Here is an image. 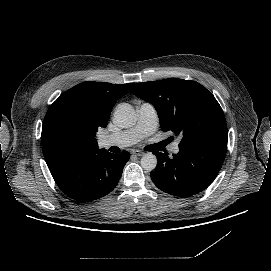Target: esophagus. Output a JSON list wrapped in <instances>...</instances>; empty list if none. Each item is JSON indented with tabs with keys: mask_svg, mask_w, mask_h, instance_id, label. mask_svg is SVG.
I'll use <instances>...</instances> for the list:
<instances>
[{
	"mask_svg": "<svg viewBox=\"0 0 271 271\" xmlns=\"http://www.w3.org/2000/svg\"><path fill=\"white\" fill-rule=\"evenodd\" d=\"M132 154L136 155V156H143L145 153L139 150H133Z\"/></svg>",
	"mask_w": 271,
	"mask_h": 271,
	"instance_id": "esophagus-1",
	"label": "esophagus"
}]
</instances>
